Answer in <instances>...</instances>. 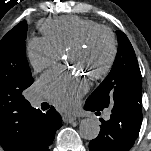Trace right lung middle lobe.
<instances>
[{
  "instance_id": "obj_1",
  "label": "right lung middle lobe",
  "mask_w": 151,
  "mask_h": 151,
  "mask_svg": "<svg viewBox=\"0 0 151 151\" xmlns=\"http://www.w3.org/2000/svg\"><path fill=\"white\" fill-rule=\"evenodd\" d=\"M27 23L21 21L0 41V97L25 99L33 78L26 59Z\"/></svg>"
}]
</instances>
